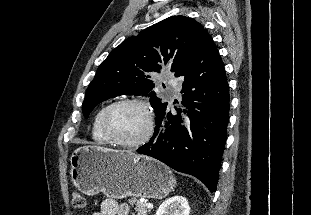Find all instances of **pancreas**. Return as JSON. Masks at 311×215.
<instances>
[{"instance_id": "1", "label": "pancreas", "mask_w": 311, "mask_h": 215, "mask_svg": "<svg viewBox=\"0 0 311 215\" xmlns=\"http://www.w3.org/2000/svg\"><path fill=\"white\" fill-rule=\"evenodd\" d=\"M130 205H135V211L137 215H147L150 209L147 208L146 202L139 201L136 197H133L129 200Z\"/></svg>"}]
</instances>
